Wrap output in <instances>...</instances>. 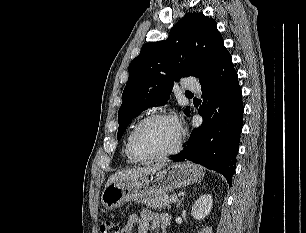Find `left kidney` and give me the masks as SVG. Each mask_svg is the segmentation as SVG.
<instances>
[{
	"instance_id": "left-kidney-1",
	"label": "left kidney",
	"mask_w": 306,
	"mask_h": 233,
	"mask_svg": "<svg viewBox=\"0 0 306 233\" xmlns=\"http://www.w3.org/2000/svg\"><path fill=\"white\" fill-rule=\"evenodd\" d=\"M212 205V196L210 194H204L195 201L192 206L191 214L195 219L202 220L209 215Z\"/></svg>"
}]
</instances>
